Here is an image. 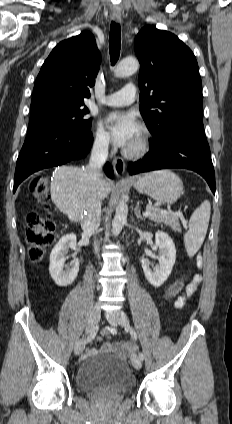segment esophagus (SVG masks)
I'll use <instances>...</instances> for the list:
<instances>
[{
  "mask_svg": "<svg viewBox=\"0 0 232 424\" xmlns=\"http://www.w3.org/2000/svg\"><path fill=\"white\" fill-rule=\"evenodd\" d=\"M112 18L115 22L121 21V13L120 12H113ZM113 166L115 174L119 177L124 174L125 172V162L121 157H115L113 160Z\"/></svg>",
  "mask_w": 232,
  "mask_h": 424,
  "instance_id": "1",
  "label": "esophagus"
}]
</instances>
